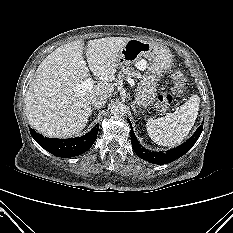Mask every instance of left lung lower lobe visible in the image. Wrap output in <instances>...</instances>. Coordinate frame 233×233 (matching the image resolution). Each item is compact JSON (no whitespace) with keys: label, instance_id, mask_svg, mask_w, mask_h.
I'll list each match as a JSON object with an SVG mask.
<instances>
[{"label":"left lung lower lobe","instance_id":"0a47b994","mask_svg":"<svg viewBox=\"0 0 233 233\" xmlns=\"http://www.w3.org/2000/svg\"><path fill=\"white\" fill-rule=\"evenodd\" d=\"M128 122L130 123L131 126L132 149L134 150L136 155L148 162L158 165L171 163L176 159L180 158L181 156H183L185 153H187L191 149V147L196 143L203 129V126H199V128L195 131V133L179 147L170 149L166 152H154V151L151 152L139 144V141L135 137V133L132 129V125L129 119Z\"/></svg>","mask_w":233,"mask_h":233}]
</instances>
